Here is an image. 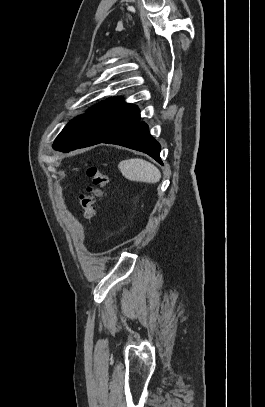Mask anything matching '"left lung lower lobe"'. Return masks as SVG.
<instances>
[{
	"mask_svg": "<svg viewBox=\"0 0 265 407\" xmlns=\"http://www.w3.org/2000/svg\"><path fill=\"white\" fill-rule=\"evenodd\" d=\"M100 143L121 145L144 152L162 164L159 156L161 149L160 144L150 135L148 125L145 122L138 120ZM75 149H77V147L67 145L60 151L69 152Z\"/></svg>",
	"mask_w": 265,
	"mask_h": 407,
	"instance_id": "obj_1",
	"label": "left lung lower lobe"
}]
</instances>
